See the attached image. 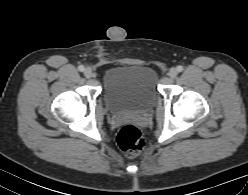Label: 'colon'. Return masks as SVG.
Masks as SVG:
<instances>
[{"instance_id":"1","label":"colon","mask_w":248,"mask_h":195,"mask_svg":"<svg viewBox=\"0 0 248 195\" xmlns=\"http://www.w3.org/2000/svg\"><path fill=\"white\" fill-rule=\"evenodd\" d=\"M117 143L120 149L129 157L137 156L145 147V141L140 129L133 125H124L118 132Z\"/></svg>"}]
</instances>
